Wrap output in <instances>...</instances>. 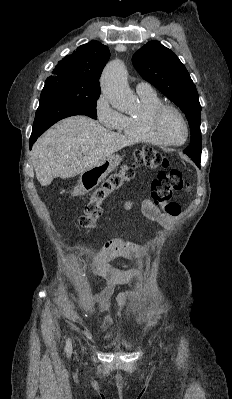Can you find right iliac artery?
<instances>
[{
  "mask_svg": "<svg viewBox=\"0 0 232 399\" xmlns=\"http://www.w3.org/2000/svg\"><path fill=\"white\" fill-rule=\"evenodd\" d=\"M66 352L68 356L71 355V342L69 340L67 341Z\"/></svg>",
  "mask_w": 232,
  "mask_h": 399,
  "instance_id": "obj_1",
  "label": "right iliac artery"
}]
</instances>
